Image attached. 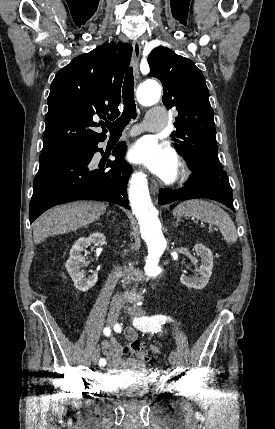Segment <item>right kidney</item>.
<instances>
[{"label": "right kidney", "mask_w": 275, "mask_h": 429, "mask_svg": "<svg viewBox=\"0 0 275 429\" xmlns=\"http://www.w3.org/2000/svg\"><path fill=\"white\" fill-rule=\"evenodd\" d=\"M90 244L95 246H102L105 244V236L100 233H92L89 237L79 238L70 250V257L67 260L65 267L72 278L76 289L82 292H86L91 289L98 281L97 272H93L88 278L85 277V272L80 270L83 267L85 259L82 256L84 248Z\"/></svg>", "instance_id": "right-kidney-1"}]
</instances>
